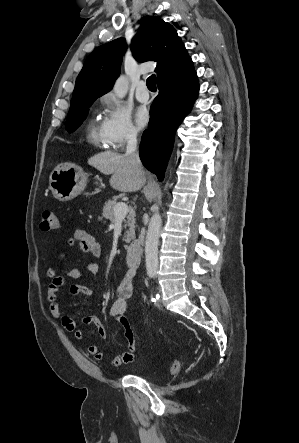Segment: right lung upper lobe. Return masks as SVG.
Instances as JSON below:
<instances>
[{"mask_svg":"<svg viewBox=\"0 0 299 443\" xmlns=\"http://www.w3.org/2000/svg\"><path fill=\"white\" fill-rule=\"evenodd\" d=\"M127 45L123 38L96 48L86 59L78 75L70 108L109 92L120 74ZM131 50L140 62L156 61L158 81L181 77L193 69V62L176 30L154 16L143 18L142 26L131 42Z\"/></svg>","mask_w":299,"mask_h":443,"instance_id":"1","label":"right lung upper lobe"}]
</instances>
